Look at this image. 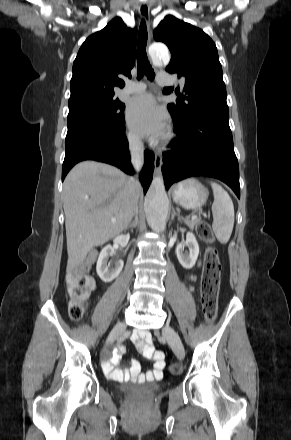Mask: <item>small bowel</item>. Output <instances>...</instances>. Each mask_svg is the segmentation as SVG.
I'll list each match as a JSON object with an SVG mask.
<instances>
[{
  "instance_id": "1",
  "label": "small bowel",
  "mask_w": 291,
  "mask_h": 440,
  "mask_svg": "<svg viewBox=\"0 0 291 440\" xmlns=\"http://www.w3.org/2000/svg\"><path fill=\"white\" fill-rule=\"evenodd\" d=\"M132 339L136 341L137 348L143 353V355L153 362L154 369L145 373L141 372V367L137 361L131 363L130 369H120V353L125 351L124 347H121L104 362L103 368L105 373L109 377H116L119 379H128L129 377L136 382H150L162 376L165 369V362L163 355L156 356L154 354L153 346L149 338V334L146 331H136L132 334Z\"/></svg>"
}]
</instances>
